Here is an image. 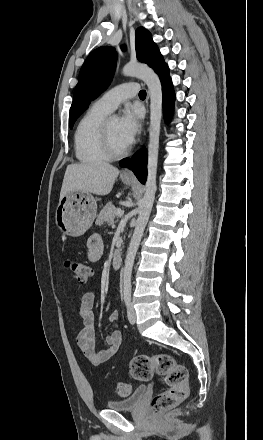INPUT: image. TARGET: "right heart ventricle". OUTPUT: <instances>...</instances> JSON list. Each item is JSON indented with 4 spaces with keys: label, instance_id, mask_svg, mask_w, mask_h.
Instances as JSON below:
<instances>
[{
    "label": "right heart ventricle",
    "instance_id": "right-heart-ventricle-1",
    "mask_svg": "<svg viewBox=\"0 0 263 440\" xmlns=\"http://www.w3.org/2000/svg\"><path fill=\"white\" fill-rule=\"evenodd\" d=\"M108 113L94 103L79 120L74 134V149L80 162L96 163L109 159L100 144V126Z\"/></svg>",
    "mask_w": 263,
    "mask_h": 440
}]
</instances>
